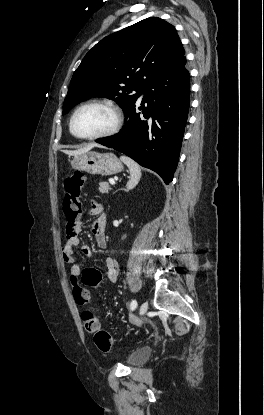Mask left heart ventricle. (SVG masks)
I'll list each match as a JSON object with an SVG mask.
<instances>
[{
	"mask_svg": "<svg viewBox=\"0 0 264 415\" xmlns=\"http://www.w3.org/2000/svg\"><path fill=\"white\" fill-rule=\"evenodd\" d=\"M114 122L112 112L102 106H88L76 115L75 130L85 136L95 135L109 130Z\"/></svg>",
	"mask_w": 264,
	"mask_h": 415,
	"instance_id": "obj_1",
	"label": "left heart ventricle"
}]
</instances>
